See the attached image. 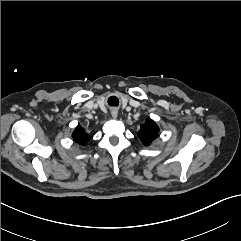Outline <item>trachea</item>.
<instances>
[{"label":"trachea","instance_id":"obj_1","mask_svg":"<svg viewBox=\"0 0 241 241\" xmlns=\"http://www.w3.org/2000/svg\"><path fill=\"white\" fill-rule=\"evenodd\" d=\"M108 104L110 106H118L119 104V98L116 94H111L108 98Z\"/></svg>","mask_w":241,"mask_h":241}]
</instances>
